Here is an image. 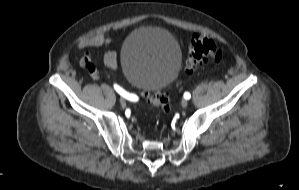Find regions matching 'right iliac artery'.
Returning <instances> with one entry per match:
<instances>
[{
  "instance_id": "1",
  "label": "right iliac artery",
  "mask_w": 299,
  "mask_h": 190,
  "mask_svg": "<svg viewBox=\"0 0 299 190\" xmlns=\"http://www.w3.org/2000/svg\"><path fill=\"white\" fill-rule=\"evenodd\" d=\"M114 89L124 98L130 100V101H137L138 96L135 94L128 93L123 88H121L119 85L114 84Z\"/></svg>"
}]
</instances>
